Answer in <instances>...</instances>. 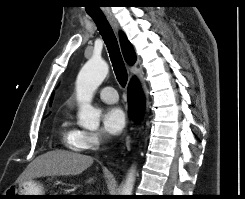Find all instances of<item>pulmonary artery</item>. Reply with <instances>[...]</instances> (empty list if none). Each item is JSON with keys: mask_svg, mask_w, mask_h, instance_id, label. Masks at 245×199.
<instances>
[{"mask_svg": "<svg viewBox=\"0 0 245 199\" xmlns=\"http://www.w3.org/2000/svg\"><path fill=\"white\" fill-rule=\"evenodd\" d=\"M99 97L107 103H115L118 101V95L113 87H103L98 90Z\"/></svg>", "mask_w": 245, "mask_h": 199, "instance_id": "obj_1", "label": "pulmonary artery"}]
</instances>
